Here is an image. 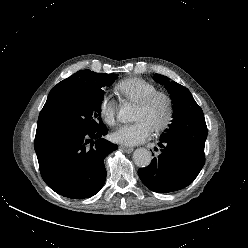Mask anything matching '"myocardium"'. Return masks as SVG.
Returning <instances> with one entry per match:
<instances>
[{
    "mask_svg": "<svg viewBox=\"0 0 248 248\" xmlns=\"http://www.w3.org/2000/svg\"><path fill=\"white\" fill-rule=\"evenodd\" d=\"M158 100H163L165 102L166 112L161 122H159L152 129L154 132L163 131L170 125L173 119V116H174V102H173L172 97L168 93L157 91L137 103L138 107L143 108V109H149Z\"/></svg>",
    "mask_w": 248,
    "mask_h": 248,
    "instance_id": "1",
    "label": "myocardium"
}]
</instances>
